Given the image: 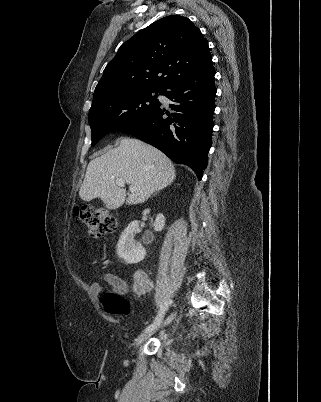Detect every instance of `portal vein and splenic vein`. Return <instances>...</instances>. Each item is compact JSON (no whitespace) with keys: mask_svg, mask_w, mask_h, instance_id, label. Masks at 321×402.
<instances>
[{"mask_svg":"<svg viewBox=\"0 0 321 402\" xmlns=\"http://www.w3.org/2000/svg\"><path fill=\"white\" fill-rule=\"evenodd\" d=\"M116 184H117L118 186H120V187H124V186H125V180L119 178V179L116 180ZM130 191H131V192H134V191H135V187H130Z\"/></svg>","mask_w":321,"mask_h":402,"instance_id":"portal-vein-and-splenic-vein-1","label":"portal vein and splenic vein"}]
</instances>
